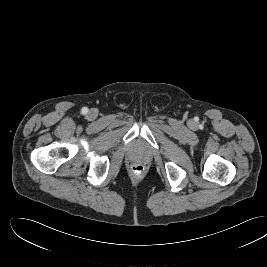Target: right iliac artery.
<instances>
[{
  "instance_id": "1",
  "label": "right iliac artery",
  "mask_w": 267,
  "mask_h": 267,
  "mask_svg": "<svg viewBox=\"0 0 267 267\" xmlns=\"http://www.w3.org/2000/svg\"><path fill=\"white\" fill-rule=\"evenodd\" d=\"M81 113H82L83 115L87 114V113H88V108H87V107H83V108L81 109Z\"/></svg>"
}]
</instances>
